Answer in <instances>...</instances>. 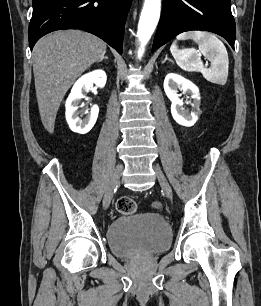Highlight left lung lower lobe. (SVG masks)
Masks as SVG:
<instances>
[{"label":"left lung lower lobe","mask_w":261,"mask_h":306,"mask_svg":"<svg viewBox=\"0 0 261 306\" xmlns=\"http://www.w3.org/2000/svg\"><path fill=\"white\" fill-rule=\"evenodd\" d=\"M190 30L216 33L234 49L236 26L231 0H163L152 52L176 35Z\"/></svg>","instance_id":"0a47b994"}]
</instances>
